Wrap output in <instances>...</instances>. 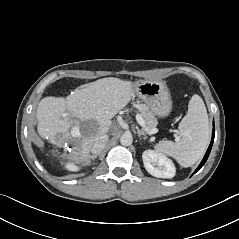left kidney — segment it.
Listing matches in <instances>:
<instances>
[{"mask_svg": "<svg viewBox=\"0 0 239 239\" xmlns=\"http://www.w3.org/2000/svg\"><path fill=\"white\" fill-rule=\"evenodd\" d=\"M145 169L157 178H173L176 173L173 162L165 155L153 150H146L142 154Z\"/></svg>", "mask_w": 239, "mask_h": 239, "instance_id": "5707ae66", "label": "left kidney"}]
</instances>
